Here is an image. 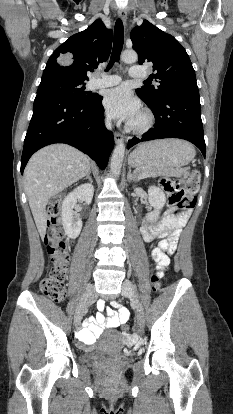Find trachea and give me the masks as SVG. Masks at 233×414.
<instances>
[{"mask_svg":"<svg viewBox=\"0 0 233 414\" xmlns=\"http://www.w3.org/2000/svg\"><path fill=\"white\" fill-rule=\"evenodd\" d=\"M123 43H124L123 23L120 19H118L115 23L113 51H112L111 59L107 66L106 71L111 69L115 62H119L120 54L123 48ZM145 83H148V81H145Z\"/></svg>","mask_w":233,"mask_h":414,"instance_id":"1","label":"trachea"}]
</instances>
